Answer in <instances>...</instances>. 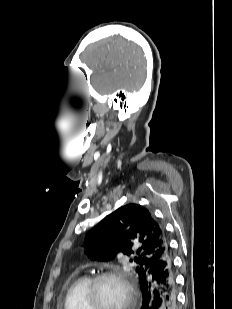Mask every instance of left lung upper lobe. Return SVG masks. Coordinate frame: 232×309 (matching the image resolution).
I'll return each instance as SVG.
<instances>
[{"label":"left lung upper lobe","mask_w":232,"mask_h":309,"mask_svg":"<svg viewBox=\"0 0 232 309\" xmlns=\"http://www.w3.org/2000/svg\"><path fill=\"white\" fill-rule=\"evenodd\" d=\"M85 242L86 253L93 260L108 262L118 254L130 256L139 282L169 249L162 224L137 204L122 206L105 217L86 235Z\"/></svg>","instance_id":"5c2ea615"}]
</instances>
